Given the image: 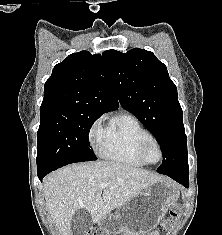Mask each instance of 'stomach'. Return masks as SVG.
Masks as SVG:
<instances>
[{
    "label": "stomach",
    "mask_w": 222,
    "mask_h": 235,
    "mask_svg": "<svg viewBox=\"0 0 222 235\" xmlns=\"http://www.w3.org/2000/svg\"><path fill=\"white\" fill-rule=\"evenodd\" d=\"M179 191L170 181H157L108 214L99 222L106 235H147L178 199Z\"/></svg>",
    "instance_id": "0dacf381"
}]
</instances>
